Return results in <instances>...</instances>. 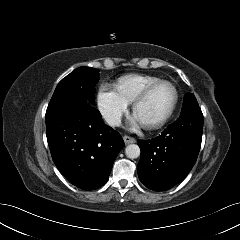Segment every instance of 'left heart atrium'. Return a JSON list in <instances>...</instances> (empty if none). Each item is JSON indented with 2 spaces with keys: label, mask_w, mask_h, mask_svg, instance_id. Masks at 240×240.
Here are the masks:
<instances>
[{
  "label": "left heart atrium",
  "mask_w": 240,
  "mask_h": 240,
  "mask_svg": "<svg viewBox=\"0 0 240 240\" xmlns=\"http://www.w3.org/2000/svg\"><path fill=\"white\" fill-rule=\"evenodd\" d=\"M139 122L141 123L140 119L137 116H135L134 120L132 121V127H130V129L138 128Z\"/></svg>",
  "instance_id": "39dd6f15"
}]
</instances>
